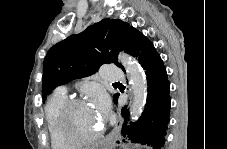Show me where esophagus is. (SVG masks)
I'll return each instance as SVG.
<instances>
[{"instance_id": "obj_1", "label": "esophagus", "mask_w": 227, "mask_h": 149, "mask_svg": "<svg viewBox=\"0 0 227 149\" xmlns=\"http://www.w3.org/2000/svg\"><path fill=\"white\" fill-rule=\"evenodd\" d=\"M122 123H123V118L119 117L115 124V127L112 130V132L110 133V135L108 137H104L103 140L100 141V144L101 145H110L111 142L114 141V138L120 133Z\"/></svg>"}]
</instances>
